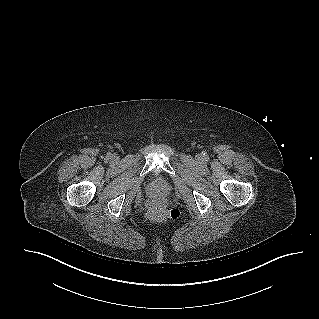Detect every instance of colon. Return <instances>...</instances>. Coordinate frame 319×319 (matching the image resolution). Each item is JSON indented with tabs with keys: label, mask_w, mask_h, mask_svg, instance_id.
<instances>
[{
	"label": "colon",
	"mask_w": 319,
	"mask_h": 319,
	"mask_svg": "<svg viewBox=\"0 0 319 319\" xmlns=\"http://www.w3.org/2000/svg\"><path fill=\"white\" fill-rule=\"evenodd\" d=\"M152 216L170 215L171 217L177 216L175 211H169L162 205H156L150 210Z\"/></svg>",
	"instance_id": "colon-1"
}]
</instances>
